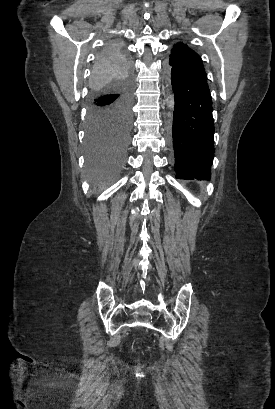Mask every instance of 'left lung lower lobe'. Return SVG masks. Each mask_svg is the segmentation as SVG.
I'll return each mask as SVG.
<instances>
[{"mask_svg": "<svg viewBox=\"0 0 275 409\" xmlns=\"http://www.w3.org/2000/svg\"><path fill=\"white\" fill-rule=\"evenodd\" d=\"M172 142L177 179L210 180L214 157L212 97L206 79L171 68Z\"/></svg>", "mask_w": 275, "mask_h": 409, "instance_id": "0a47b994", "label": "left lung lower lobe"}]
</instances>
